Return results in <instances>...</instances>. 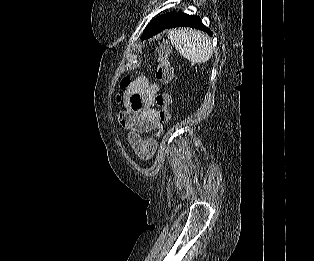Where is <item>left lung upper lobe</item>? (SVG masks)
Wrapping results in <instances>:
<instances>
[{
    "instance_id": "1",
    "label": "left lung upper lobe",
    "mask_w": 314,
    "mask_h": 261,
    "mask_svg": "<svg viewBox=\"0 0 314 261\" xmlns=\"http://www.w3.org/2000/svg\"><path fill=\"white\" fill-rule=\"evenodd\" d=\"M176 14L174 13H167L160 15L153 19L145 28L142 39H148L155 35L165 24H167L171 18Z\"/></svg>"
}]
</instances>
